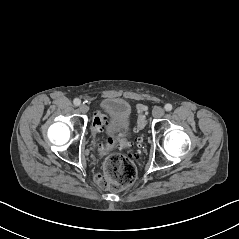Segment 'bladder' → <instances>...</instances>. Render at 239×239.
Wrapping results in <instances>:
<instances>
[{"label":"bladder","instance_id":"31cf9c89","mask_svg":"<svg viewBox=\"0 0 239 239\" xmlns=\"http://www.w3.org/2000/svg\"><path fill=\"white\" fill-rule=\"evenodd\" d=\"M101 108L110 121L109 131L122 129L127 133L131 119V106L127 100L120 97L105 98Z\"/></svg>","mask_w":239,"mask_h":239}]
</instances>
